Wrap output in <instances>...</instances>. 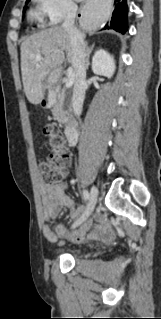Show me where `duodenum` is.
Listing matches in <instances>:
<instances>
[{
  "instance_id": "obj_1",
  "label": "duodenum",
  "mask_w": 161,
  "mask_h": 319,
  "mask_svg": "<svg viewBox=\"0 0 161 319\" xmlns=\"http://www.w3.org/2000/svg\"><path fill=\"white\" fill-rule=\"evenodd\" d=\"M65 134L70 145H74L77 139V129L74 123H69L65 127Z\"/></svg>"
}]
</instances>
